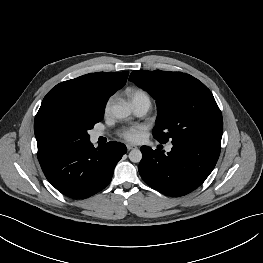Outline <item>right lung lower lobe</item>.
<instances>
[{"mask_svg":"<svg viewBox=\"0 0 263 263\" xmlns=\"http://www.w3.org/2000/svg\"><path fill=\"white\" fill-rule=\"evenodd\" d=\"M126 152V146L119 142L111 141L99 149L87 141L39 162L47 180L57 190L70 198L83 199L110 183L116 164Z\"/></svg>","mask_w":263,"mask_h":263,"instance_id":"obj_1","label":"right lung lower lobe"}]
</instances>
